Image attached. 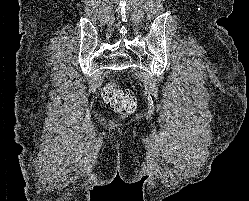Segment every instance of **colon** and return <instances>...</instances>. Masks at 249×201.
<instances>
[{"instance_id": "colon-1", "label": "colon", "mask_w": 249, "mask_h": 201, "mask_svg": "<svg viewBox=\"0 0 249 201\" xmlns=\"http://www.w3.org/2000/svg\"><path fill=\"white\" fill-rule=\"evenodd\" d=\"M102 98L111 110L119 114L127 115L135 109L136 102L133 93L115 84H109L103 89Z\"/></svg>"}]
</instances>
